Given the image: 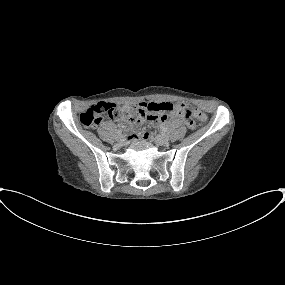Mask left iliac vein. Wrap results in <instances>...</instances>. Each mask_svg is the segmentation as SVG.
I'll list each match as a JSON object with an SVG mask.
<instances>
[{"mask_svg": "<svg viewBox=\"0 0 285 285\" xmlns=\"http://www.w3.org/2000/svg\"><path fill=\"white\" fill-rule=\"evenodd\" d=\"M168 141H169V137L167 135H164V134L163 135H157L155 137L156 144L161 145V146L167 145Z\"/></svg>", "mask_w": 285, "mask_h": 285, "instance_id": "obj_1", "label": "left iliac vein"}]
</instances>
